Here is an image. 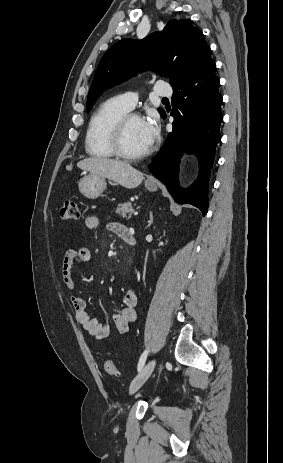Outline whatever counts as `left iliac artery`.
Returning <instances> with one entry per match:
<instances>
[{"mask_svg":"<svg viewBox=\"0 0 283 463\" xmlns=\"http://www.w3.org/2000/svg\"><path fill=\"white\" fill-rule=\"evenodd\" d=\"M148 352L149 350H145L143 354L141 355L140 360L138 362V371H140L143 368L145 361L147 359Z\"/></svg>","mask_w":283,"mask_h":463,"instance_id":"44dca946","label":"left iliac artery"}]
</instances>
